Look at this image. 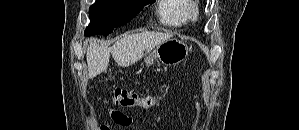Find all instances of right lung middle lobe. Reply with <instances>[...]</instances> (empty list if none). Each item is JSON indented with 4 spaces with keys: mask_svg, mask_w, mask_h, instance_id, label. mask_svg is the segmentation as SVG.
Wrapping results in <instances>:
<instances>
[{
    "mask_svg": "<svg viewBox=\"0 0 299 130\" xmlns=\"http://www.w3.org/2000/svg\"><path fill=\"white\" fill-rule=\"evenodd\" d=\"M155 0H96L89 9L90 24L85 35H108L114 27L132 20L142 7Z\"/></svg>",
    "mask_w": 299,
    "mask_h": 130,
    "instance_id": "obj_1",
    "label": "right lung middle lobe"
}]
</instances>
